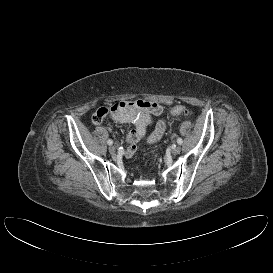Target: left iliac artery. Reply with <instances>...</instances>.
I'll list each match as a JSON object with an SVG mask.
<instances>
[{"label": "left iliac artery", "mask_w": 273, "mask_h": 273, "mask_svg": "<svg viewBox=\"0 0 273 273\" xmlns=\"http://www.w3.org/2000/svg\"><path fill=\"white\" fill-rule=\"evenodd\" d=\"M177 143L181 145L183 143V140L181 138H178Z\"/></svg>", "instance_id": "44dca946"}]
</instances>
